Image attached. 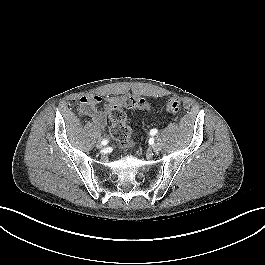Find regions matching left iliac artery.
I'll return each mask as SVG.
<instances>
[{
    "label": "left iliac artery",
    "mask_w": 265,
    "mask_h": 265,
    "mask_svg": "<svg viewBox=\"0 0 265 265\" xmlns=\"http://www.w3.org/2000/svg\"><path fill=\"white\" fill-rule=\"evenodd\" d=\"M157 133V129H152L151 131H150V134L151 135H155Z\"/></svg>",
    "instance_id": "obj_1"
}]
</instances>
